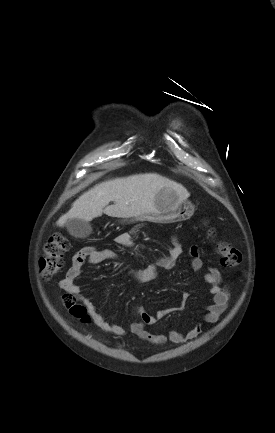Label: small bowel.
Returning a JSON list of instances; mask_svg holds the SVG:
<instances>
[{"label": "small bowel", "instance_id": "obj_1", "mask_svg": "<svg viewBox=\"0 0 275 433\" xmlns=\"http://www.w3.org/2000/svg\"><path fill=\"white\" fill-rule=\"evenodd\" d=\"M134 232L125 231L119 233L115 237V242L122 246L131 248L134 246ZM191 256V267L194 271H200L203 262L200 258V248L193 245L189 249ZM182 254V246L179 240L174 237L173 244L168 249L165 256L157 259L153 264L146 268L132 270L131 277L140 283H145L155 279L161 270H170L174 267L177 259ZM119 255L109 249H96L93 246H86L76 252L72 258V265L68 269L66 276L60 282V287L66 292L76 296L88 309L95 324L102 330L112 333L117 336H122L126 333L125 329L115 323H109L103 315L98 311L96 306L82 295L80 287L76 284V279L81 273L82 267L89 263L98 265L105 261L119 260ZM205 283L209 286V292L212 296V303L208 306L207 313L204 317L206 323H217L227 309L229 301V292L223 287L221 272L215 267H209L204 276ZM186 297V294H184ZM167 314L166 310H160L152 314L147 312L143 307H137L134 311V316L139 317L140 321L133 320L129 324L131 334L149 342L154 346H163L167 341L174 344L183 343L198 337L202 333L200 324H194L187 332L172 330L166 336L160 333H151L146 330V326H154Z\"/></svg>", "mask_w": 275, "mask_h": 433}]
</instances>
